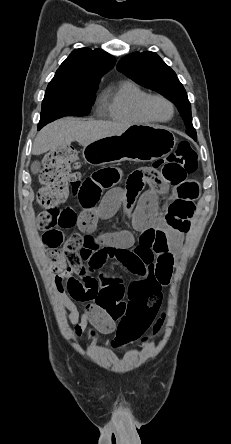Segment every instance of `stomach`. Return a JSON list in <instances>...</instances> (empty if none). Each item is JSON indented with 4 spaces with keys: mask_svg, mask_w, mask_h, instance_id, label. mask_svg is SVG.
<instances>
[{
    "mask_svg": "<svg viewBox=\"0 0 231 444\" xmlns=\"http://www.w3.org/2000/svg\"><path fill=\"white\" fill-rule=\"evenodd\" d=\"M176 142L175 135L166 127L136 124L121 134L107 136L85 146L83 157L93 165L124 160L152 161L170 154Z\"/></svg>",
    "mask_w": 231,
    "mask_h": 444,
    "instance_id": "1",
    "label": "stomach"
}]
</instances>
